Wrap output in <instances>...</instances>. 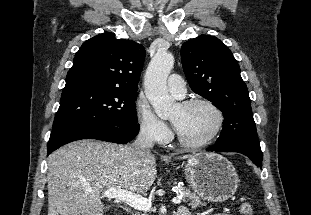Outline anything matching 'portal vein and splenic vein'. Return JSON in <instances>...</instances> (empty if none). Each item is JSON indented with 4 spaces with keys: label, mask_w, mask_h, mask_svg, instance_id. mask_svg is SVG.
<instances>
[{
    "label": "portal vein and splenic vein",
    "mask_w": 311,
    "mask_h": 215,
    "mask_svg": "<svg viewBox=\"0 0 311 215\" xmlns=\"http://www.w3.org/2000/svg\"><path fill=\"white\" fill-rule=\"evenodd\" d=\"M102 196L109 198V199H116L119 201H122L126 204H128L129 206L137 209V210H141L144 212H147L151 209L152 207V203L151 200L144 198L140 195L122 190V189H108L102 192ZM182 200V195L181 197H176L172 199V202L174 204H180Z\"/></svg>",
    "instance_id": "18ae733b"
}]
</instances>
